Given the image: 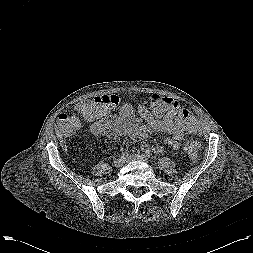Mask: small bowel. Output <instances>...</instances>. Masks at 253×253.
<instances>
[{"mask_svg": "<svg viewBox=\"0 0 253 253\" xmlns=\"http://www.w3.org/2000/svg\"><path fill=\"white\" fill-rule=\"evenodd\" d=\"M139 113L144 120V123L135 116L134 109L131 105H124L119 111L118 119H116L120 127L116 126L115 129L110 130L108 132L104 129V123L107 121H111V119H105L108 116L107 112L104 115L96 118L98 120L92 124L91 131L94 135L97 136H115L117 134H124L136 141H140L147 138L153 132H162L168 134L169 137L164 139L163 144L145 146L144 149L146 151L160 154L163 152L166 146L171 147L172 149L179 148L180 142L185 138L186 133L185 128L178 121L167 118H147L144 116L142 107L139 109ZM187 131L189 133H195L197 129Z\"/></svg>", "mask_w": 253, "mask_h": 253, "instance_id": "obj_1", "label": "small bowel"}]
</instances>
